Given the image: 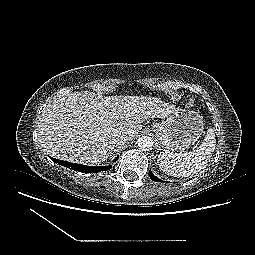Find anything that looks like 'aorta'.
<instances>
[{"instance_id": "obj_1", "label": "aorta", "mask_w": 255, "mask_h": 255, "mask_svg": "<svg viewBox=\"0 0 255 255\" xmlns=\"http://www.w3.org/2000/svg\"><path fill=\"white\" fill-rule=\"evenodd\" d=\"M153 139L148 136H141L137 140V145L142 151H150L153 148Z\"/></svg>"}]
</instances>
